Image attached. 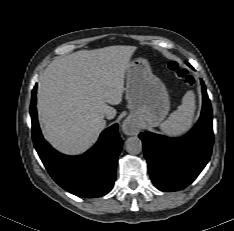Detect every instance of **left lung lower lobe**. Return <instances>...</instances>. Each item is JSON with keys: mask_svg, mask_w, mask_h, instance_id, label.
Here are the masks:
<instances>
[{"mask_svg": "<svg viewBox=\"0 0 234 231\" xmlns=\"http://www.w3.org/2000/svg\"><path fill=\"white\" fill-rule=\"evenodd\" d=\"M201 84V116L188 134L175 139L151 132L139 134L151 179L161 191L185 188L194 181L210 159L213 147L212 109L202 80Z\"/></svg>", "mask_w": 234, "mask_h": 231, "instance_id": "0a47b994", "label": "left lung lower lobe"}]
</instances>
